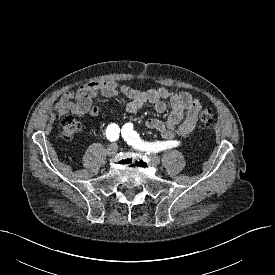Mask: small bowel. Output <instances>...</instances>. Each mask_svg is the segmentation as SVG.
I'll return each mask as SVG.
<instances>
[{
	"instance_id": "1",
	"label": "small bowel",
	"mask_w": 275,
	"mask_h": 275,
	"mask_svg": "<svg viewBox=\"0 0 275 275\" xmlns=\"http://www.w3.org/2000/svg\"><path fill=\"white\" fill-rule=\"evenodd\" d=\"M98 96L126 98V110L131 114L146 104L153 105L157 113H164L169 101L171 112L165 121L150 118L145 123L147 128L159 132L165 140L190 134L201 109L200 101L188 92H172L163 87L140 91L114 81L90 82L76 91H66L60 96L55 109L59 114L71 112L79 117H96L101 114V108L93 104Z\"/></svg>"
}]
</instances>
